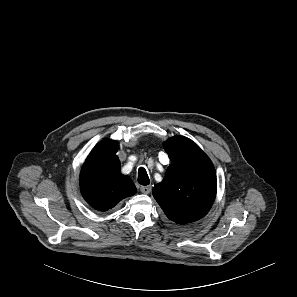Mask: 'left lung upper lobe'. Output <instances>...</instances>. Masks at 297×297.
<instances>
[{"mask_svg":"<svg viewBox=\"0 0 297 297\" xmlns=\"http://www.w3.org/2000/svg\"><path fill=\"white\" fill-rule=\"evenodd\" d=\"M172 164L153 196L166 216L177 224L204 217L216 196L215 168L209 157L192 140L175 136L164 143Z\"/></svg>","mask_w":297,"mask_h":297,"instance_id":"5c2ea615","label":"left lung upper lobe"}]
</instances>
